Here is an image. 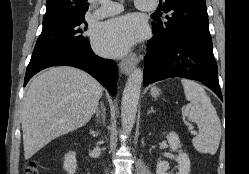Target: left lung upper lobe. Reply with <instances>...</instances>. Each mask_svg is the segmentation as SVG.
<instances>
[{"label":"left lung upper lobe","mask_w":249,"mask_h":174,"mask_svg":"<svg viewBox=\"0 0 249 174\" xmlns=\"http://www.w3.org/2000/svg\"><path fill=\"white\" fill-rule=\"evenodd\" d=\"M160 9L168 13L167 22L152 23L154 36L167 43L211 38L205 0H163Z\"/></svg>","instance_id":"1"}]
</instances>
